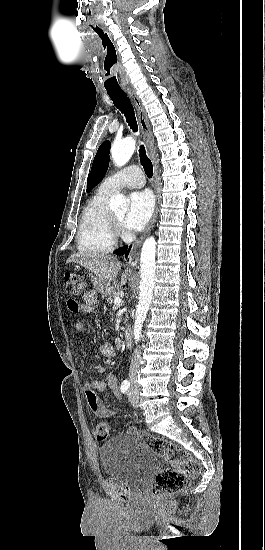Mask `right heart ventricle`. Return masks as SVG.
<instances>
[{
  "mask_svg": "<svg viewBox=\"0 0 265 550\" xmlns=\"http://www.w3.org/2000/svg\"><path fill=\"white\" fill-rule=\"evenodd\" d=\"M112 193L99 187L85 206L78 226L76 242L83 252H108L115 243L110 226L107 201Z\"/></svg>",
  "mask_w": 265,
  "mask_h": 550,
  "instance_id": "right-heart-ventricle-1",
  "label": "right heart ventricle"
}]
</instances>
